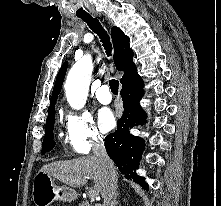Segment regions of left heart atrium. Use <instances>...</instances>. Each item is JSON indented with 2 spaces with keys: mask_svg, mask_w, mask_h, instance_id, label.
Here are the masks:
<instances>
[{
  "mask_svg": "<svg viewBox=\"0 0 221 206\" xmlns=\"http://www.w3.org/2000/svg\"><path fill=\"white\" fill-rule=\"evenodd\" d=\"M98 123L103 132L110 131L115 126V117L109 108H101L98 111Z\"/></svg>",
  "mask_w": 221,
  "mask_h": 206,
  "instance_id": "1",
  "label": "left heart atrium"
}]
</instances>
